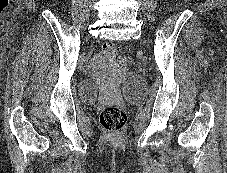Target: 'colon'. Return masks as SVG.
Masks as SVG:
<instances>
[{
	"label": "colon",
	"mask_w": 227,
	"mask_h": 173,
	"mask_svg": "<svg viewBox=\"0 0 227 173\" xmlns=\"http://www.w3.org/2000/svg\"><path fill=\"white\" fill-rule=\"evenodd\" d=\"M103 52L106 56L116 58L121 65L130 67L132 72L136 71V67L131 60L126 56L119 55L113 44H105L103 46ZM99 120L105 130L115 133L119 132L124 127L127 115L120 106L107 104L102 107Z\"/></svg>",
	"instance_id": "5ec220e1"
}]
</instances>
